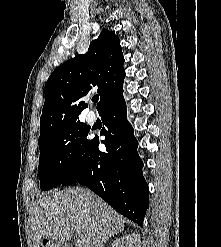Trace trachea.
I'll return each mask as SVG.
<instances>
[{
	"label": "trachea",
	"instance_id": "3493384b",
	"mask_svg": "<svg viewBox=\"0 0 221 247\" xmlns=\"http://www.w3.org/2000/svg\"><path fill=\"white\" fill-rule=\"evenodd\" d=\"M98 99H99V97H94L92 100H93V102H97Z\"/></svg>",
	"mask_w": 221,
	"mask_h": 247
}]
</instances>
